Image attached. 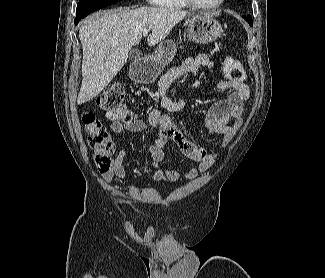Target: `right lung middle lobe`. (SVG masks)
<instances>
[{
    "label": "right lung middle lobe",
    "instance_id": "1",
    "mask_svg": "<svg viewBox=\"0 0 325 278\" xmlns=\"http://www.w3.org/2000/svg\"><path fill=\"white\" fill-rule=\"evenodd\" d=\"M119 0H79L77 5L76 14L80 15H88L89 13L104 8L108 5L116 3Z\"/></svg>",
    "mask_w": 325,
    "mask_h": 278
}]
</instances>
